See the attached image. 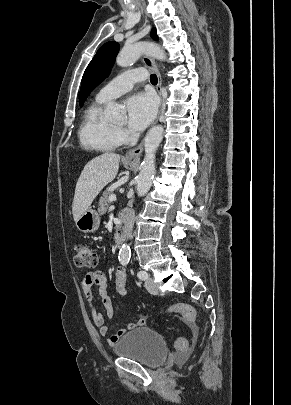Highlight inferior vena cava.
<instances>
[{"instance_id": "obj_1", "label": "inferior vena cava", "mask_w": 291, "mask_h": 405, "mask_svg": "<svg viewBox=\"0 0 291 405\" xmlns=\"http://www.w3.org/2000/svg\"><path fill=\"white\" fill-rule=\"evenodd\" d=\"M134 217H135L134 210H130V212L128 214V217H127L126 224H125V236H126V238L131 237V232H132L133 226H134Z\"/></svg>"}]
</instances>
